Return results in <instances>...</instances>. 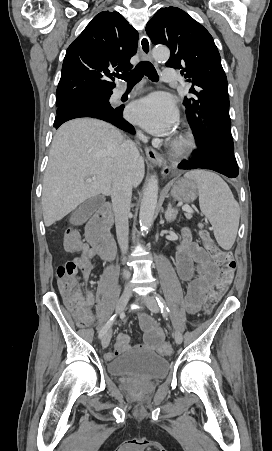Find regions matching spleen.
I'll use <instances>...</instances> for the list:
<instances>
[{
  "mask_svg": "<svg viewBox=\"0 0 272 451\" xmlns=\"http://www.w3.org/2000/svg\"><path fill=\"white\" fill-rule=\"evenodd\" d=\"M184 178L196 182L200 210L213 227L216 241L223 249H231L238 231L240 208L228 184L218 174L205 170L187 172Z\"/></svg>",
  "mask_w": 272,
  "mask_h": 451,
  "instance_id": "obj_1",
  "label": "spleen"
}]
</instances>
